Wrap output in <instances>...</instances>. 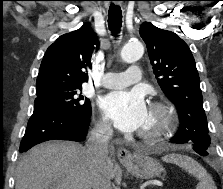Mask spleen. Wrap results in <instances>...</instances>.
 Masks as SVG:
<instances>
[{"instance_id": "3e777b00", "label": "spleen", "mask_w": 223, "mask_h": 189, "mask_svg": "<svg viewBox=\"0 0 223 189\" xmlns=\"http://www.w3.org/2000/svg\"><path fill=\"white\" fill-rule=\"evenodd\" d=\"M162 160L164 162L176 164L196 177L200 181L196 189H217L212 177L207 173L204 167L191 157L181 154H168L162 157Z\"/></svg>"}]
</instances>
